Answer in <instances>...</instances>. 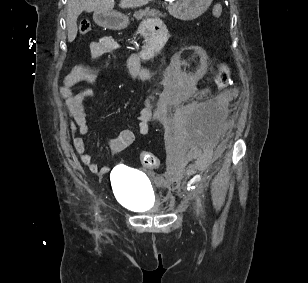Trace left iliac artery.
<instances>
[{
	"instance_id": "obj_1",
	"label": "left iliac artery",
	"mask_w": 308,
	"mask_h": 283,
	"mask_svg": "<svg viewBox=\"0 0 308 283\" xmlns=\"http://www.w3.org/2000/svg\"><path fill=\"white\" fill-rule=\"evenodd\" d=\"M197 205L199 207L200 212H202V200L200 198V196L197 197Z\"/></svg>"
}]
</instances>
